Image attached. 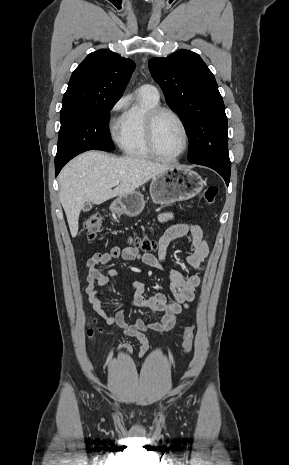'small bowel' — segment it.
<instances>
[{
  "instance_id": "1",
  "label": "small bowel",
  "mask_w": 289,
  "mask_h": 465,
  "mask_svg": "<svg viewBox=\"0 0 289 465\" xmlns=\"http://www.w3.org/2000/svg\"><path fill=\"white\" fill-rule=\"evenodd\" d=\"M176 213L168 212L159 216V221L165 223L176 218ZM189 234L192 240V249L187 257L188 264L197 272L195 274L184 276L177 270H170L168 276L170 279L169 292L172 301L167 300L165 293L158 292L154 295L145 294L146 286L141 281H132L134 288L131 305L145 307L151 310L152 316L156 312H162L160 321H153L151 318L147 321L136 318L132 323L125 320V309H118L114 315L107 314L101 303L100 287L107 285L111 278L118 276L115 269H109L102 272L99 267L106 265L113 259L122 258L126 261H140L152 268L163 270L166 262V253L169 244L182 236ZM209 254V246L204 238L200 226L190 222H180L167 228L159 236V255L142 253L137 248L126 247L121 249L113 247L107 252H98L91 256L87 261V286L86 294L94 311L109 325L115 324L127 336L135 338L139 344L142 353H145L151 347L145 335L147 330H154L158 333L170 331L177 320L178 315L183 309L188 308L189 303L195 298L196 289L201 284L200 273L204 270V263ZM119 350L132 351L129 344L119 347ZM108 357H112L114 352L111 349L106 351Z\"/></svg>"
}]
</instances>
